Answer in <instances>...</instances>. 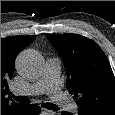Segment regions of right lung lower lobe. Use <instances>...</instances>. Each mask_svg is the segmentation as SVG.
Segmentation results:
<instances>
[{
	"label": "right lung lower lobe",
	"mask_w": 115,
	"mask_h": 115,
	"mask_svg": "<svg viewBox=\"0 0 115 115\" xmlns=\"http://www.w3.org/2000/svg\"><path fill=\"white\" fill-rule=\"evenodd\" d=\"M40 113V107L35 104H23L18 110L7 113L6 115H37Z\"/></svg>",
	"instance_id": "right-lung-lower-lobe-1"
}]
</instances>
